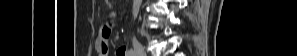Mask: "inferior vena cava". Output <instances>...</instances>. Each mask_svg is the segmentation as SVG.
Returning a JSON list of instances; mask_svg holds the SVG:
<instances>
[{"mask_svg":"<svg viewBox=\"0 0 297 56\" xmlns=\"http://www.w3.org/2000/svg\"><path fill=\"white\" fill-rule=\"evenodd\" d=\"M137 14H138V5H137V0H136L134 5H133V16H134V18L137 17Z\"/></svg>","mask_w":297,"mask_h":56,"instance_id":"inferior-vena-cava-1","label":"inferior vena cava"}]
</instances>
